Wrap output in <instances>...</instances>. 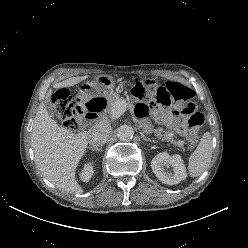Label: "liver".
Wrapping results in <instances>:
<instances>
[{"label":"liver","mask_w":248,"mask_h":248,"mask_svg":"<svg viewBox=\"0 0 248 248\" xmlns=\"http://www.w3.org/2000/svg\"><path fill=\"white\" fill-rule=\"evenodd\" d=\"M87 76L72 77L55 83L54 88L71 87L85 80ZM49 90L47 97H50ZM88 133H71L49 116L41 104L35 116L31 132V145L35 163L42 175L56 187L69 193H82L75 178V170L86 151Z\"/></svg>","instance_id":"liver-1"}]
</instances>
